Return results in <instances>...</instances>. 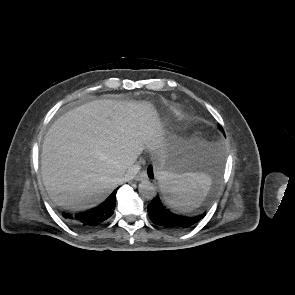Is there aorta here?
<instances>
[{"label": "aorta", "mask_w": 295, "mask_h": 295, "mask_svg": "<svg viewBox=\"0 0 295 295\" xmlns=\"http://www.w3.org/2000/svg\"><path fill=\"white\" fill-rule=\"evenodd\" d=\"M138 191L145 199H152L156 195L155 186L149 180H143L139 184Z\"/></svg>", "instance_id": "aorta-1"}]
</instances>
